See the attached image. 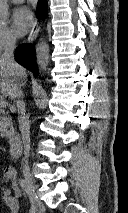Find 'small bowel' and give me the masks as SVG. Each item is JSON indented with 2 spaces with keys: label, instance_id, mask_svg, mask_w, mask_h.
<instances>
[{
  "label": "small bowel",
  "instance_id": "1",
  "mask_svg": "<svg viewBox=\"0 0 128 213\" xmlns=\"http://www.w3.org/2000/svg\"><path fill=\"white\" fill-rule=\"evenodd\" d=\"M16 177H17V172L14 167L6 166L3 169L1 186H0V195L2 197V201L9 209V213H18L20 208V204H19L20 189L17 184ZM7 184L11 185V188L14 193L13 195L8 189Z\"/></svg>",
  "mask_w": 128,
  "mask_h": 213
}]
</instances>
